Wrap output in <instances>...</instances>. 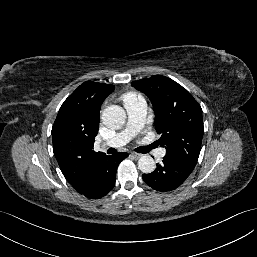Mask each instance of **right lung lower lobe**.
<instances>
[{"mask_svg":"<svg viewBox=\"0 0 257 257\" xmlns=\"http://www.w3.org/2000/svg\"><path fill=\"white\" fill-rule=\"evenodd\" d=\"M126 157H128L126 152H118L112 156L103 157L92 180L79 193L90 199H99L109 193L115 185L117 167Z\"/></svg>","mask_w":257,"mask_h":257,"instance_id":"1","label":"right lung lower lobe"}]
</instances>
